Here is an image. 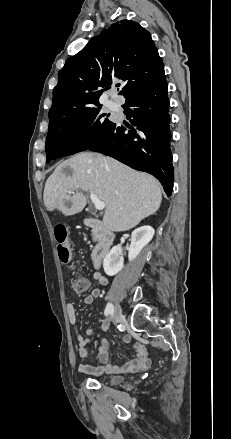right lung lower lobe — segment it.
<instances>
[{
    "label": "right lung lower lobe",
    "instance_id": "98d812e1",
    "mask_svg": "<svg viewBox=\"0 0 231 439\" xmlns=\"http://www.w3.org/2000/svg\"><path fill=\"white\" fill-rule=\"evenodd\" d=\"M131 124L113 126L88 150L155 176L168 196L173 189L166 78L133 92L122 105Z\"/></svg>",
    "mask_w": 231,
    "mask_h": 439
}]
</instances>
